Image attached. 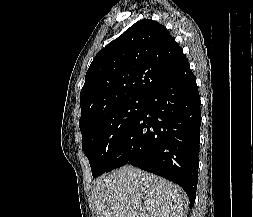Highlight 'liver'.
I'll return each instance as SVG.
<instances>
[{
  "instance_id": "liver-1",
  "label": "liver",
  "mask_w": 253,
  "mask_h": 217,
  "mask_svg": "<svg viewBox=\"0 0 253 217\" xmlns=\"http://www.w3.org/2000/svg\"><path fill=\"white\" fill-rule=\"evenodd\" d=\"M96 217H187L188 197L176 184L126 165L94 181Z\"/></svg>"
}]
</instances>
